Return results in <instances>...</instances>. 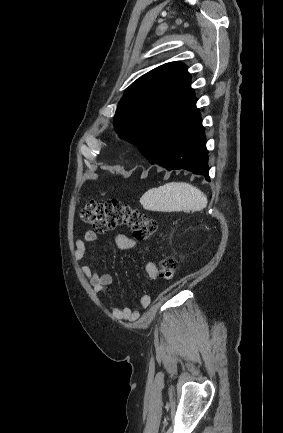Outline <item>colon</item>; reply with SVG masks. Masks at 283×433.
I'll return each mask as SVG.
<instances>
[{
    "mask_svg": "<svg viewBox=\"0 0 283 433\" xmlns=\"http://www.w3.org/2000/svg\"><path fill=\"white\" fill-rule=\"evenodd\" d=\"M83 223L99 233L106 232L120 225L130 228L138 240H145L157 231V223L137 208L126 202L112 199L105 202L88 201L79 212ZM178 262L174 257H165L159 265V277L170 280L176 274Z\"/></svg>",
    "mask_w": 283,
    "mask_h": 433,
    "instance_id": "colon-1",
    "label": "colon"
}]
</instances>
